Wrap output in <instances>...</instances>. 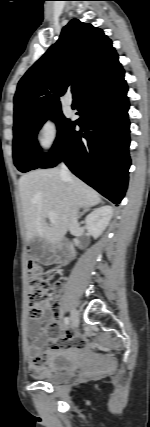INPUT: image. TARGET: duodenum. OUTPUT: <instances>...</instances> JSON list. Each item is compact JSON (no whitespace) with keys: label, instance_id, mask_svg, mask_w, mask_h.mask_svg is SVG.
<instances>
[{"label":"duodenum","instance_id":"obj_1","mask_svg":"<svg viewBox=\"0 0 150 427\" xmlns=\"http://www.w3.org/2000/svg\"><path fill=\"white\" fill-rule=\"evenodd\" d=\"M67 262V254L64 250H62L58 256V263L66 264Z\"/></svg>","mask_w":150,"mask_h":427}]
</instances>
